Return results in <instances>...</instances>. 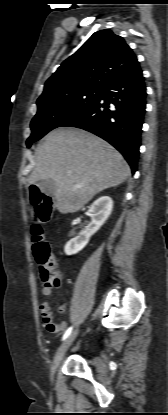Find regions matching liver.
I'll return each mask as SVG.
<instances>
[{
    "instance_id": "liver-1",
    "label": "liver",
    "mask_w": 168,
    "mask_h": 415,
    "mask_svg": "<svg viewBox=\"0 0 168 415\" xmlns=\"http://www.w3.org/2000/svg\"><path fill=\"white\" fill-rule=\"evenodd\" d=\"M130 174L123 156L109 143L82 129L60 127L38 145L28 182L53 179L55 207L67 214L77 212L103 190L120 185Z\"/></svg>"
}]
</instances>
